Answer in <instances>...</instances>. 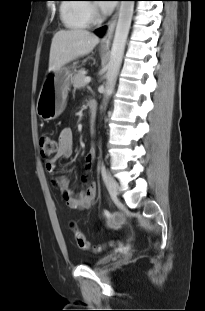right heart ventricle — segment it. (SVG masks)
I'll return each mask as SVG.
<instances>
[{
  "label": "right heart ventricle",
  "instance_id": "1",
  "mask_svg": "<svg viewBox=\"0 0 205 311\" xmlns=\"http://www.w3.org/2000/svg\"><path fill=\"white\" fill-rule=\"evenodd\" d=\"M80 2L82 0H66ZM62 22L69 29L79 30L87 28L91 22L89 5L82 3H65L60 6Z\"/></svg>",
  "mask_w": 205,
  "mask_h": 311
}]
</instances>
